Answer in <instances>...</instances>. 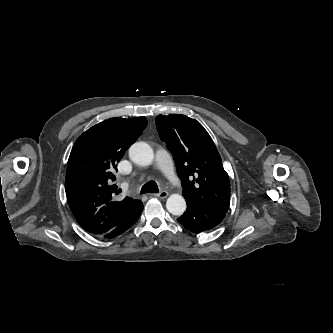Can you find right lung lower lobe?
I'll return each mask as SVG.
<instances>
[{"label":"right lung lower lobe","instance_id":"1","mask_svg":"<svg viewBox=\"0 0 333 333\" xmlns=\"http://www.w3.org/2000/svg\"><path fill=\"white\" fill-rule=\"evenodd\" d=\"M143 210V205L141 208L134 214L132 215L128 220L120 224L119 226L113 228L110 232L104 234L102 237L105 238H113L116 237L123 232H125L128 228H130L133 224L136 223V221L139 219V216L141 215Z\"/></svg>","mask_w":333,"mask_h":333}]
</instances>
